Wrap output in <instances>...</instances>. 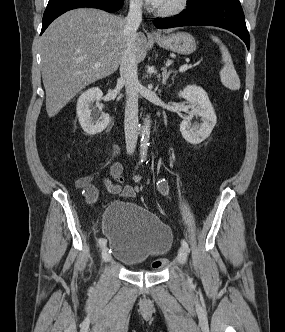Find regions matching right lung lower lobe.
Masks as SVG:
<instances>
[{
	"label": "right lung lower lobe",
	"mask_w": 285,
	"mask_h": 332,
	"mask_svg": "<svg viewBox=\"0 0 285 332\" xmlns=\"http://www.w3.org/2000/svg\"><path fill=\"white\" fill-rule=\"evenodd\" d=\"M124 0H49L43 15L41 34L49 24L61 14L80 7H92L115 12L120 9Z\"/></svg>",
	"instance_id": "obj_1"
}]
</instances>
